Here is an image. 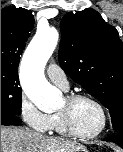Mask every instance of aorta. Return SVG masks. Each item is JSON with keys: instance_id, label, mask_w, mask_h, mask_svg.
Returning a JSON list of instances; mask_svg holds the SVG:
<instances>
[{"instance_id": "762f6f07", "label": "aorta", "mask_w": 123, "mask_h": 152, "mask_svg": "<svg viewBox=\"0 0 123 152\" xmlns=\"http://www.w3.org/2000/svg\"><path fill=\"white\" fill-rule=\"evenodd\" d=\"M58 39L59 34L55 28L38 30L21 61L22 88L27 97L43 112L53 111L59 106V92L44 76V67L53 54Z\"/></svg>"}]
</instances>
